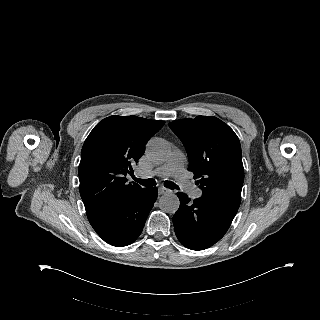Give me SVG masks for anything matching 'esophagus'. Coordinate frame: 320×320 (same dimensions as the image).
<instances>
[{"label": "esophagus", "mask_w": 320, "mask_h": 320, "mask_svg": "<svg viewBox=\"0 0 320 320\" xmlns=\"http://www.w3.org/2000/svg\"><path fill=\"white\" fill-rule=\"evenodd\" d=\"M170 192H171V190H169V189H167L165 187L160 186L158 188V194L159 195H163V194L170 193Z\"/></svg>", "instance_id": "obj_1"}]
</instances>
